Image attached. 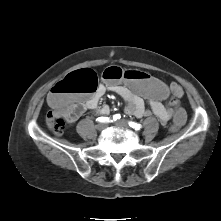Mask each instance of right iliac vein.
I'll use <instances>...</instances> for the list:
<instances>
[{"label":"right iliac vein","instance_id":"1","mask_svg":"<svg viewBox=\"0 0 221 221\" xmlns=\"http://www.w3.org/2000/svg\"><path fill=\"white\" fill-rule=\"evenodd\" d=\"M107 127V124L105 122H101L97 125V130L102 131Z\"/></svg>","mask_w":221,"mask_h":221}]
</instances>
